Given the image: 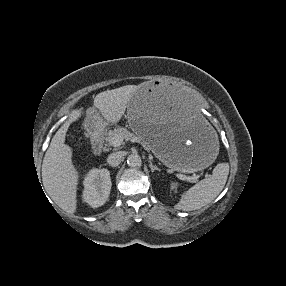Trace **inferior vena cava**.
Here are the masks:
<instances>
[{
  "label": "inferior vena cava",
  "mask_w": 286,
  "mask_h": 286,
  "mask_svg": "<svg viewBox=\"0 0 286 286\" xmlns=\"http://www.w3.org/2000/svg\"><path fill=\"white\" fill-rule=\"evenodd\" d=\"M123 159L124 157L121 151L113 152L108 156L107 163L112 167H116L121 163V161H123Z\"/></svg>",
  "instance_id": "inferior-vena-cava-1"
}]
</instances>
